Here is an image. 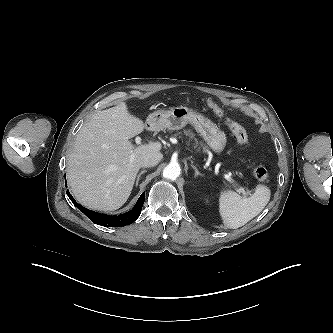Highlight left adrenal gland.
Listing matches in <instances>:
<instances>
[{
	"label": "left adrenal gland",
	"instance_id": "obj_1",
	"mask_svg": "<svg viewBox=\"0 0 333 333\" xmlns=\"http://www.w3.org/2000/svg\"><path fill=\"white\" fill-rule=\"evenodd\" d=\"M191 167L195 170V177H197L198 175H202L197 169V167L193 164V162H191Z\"/></svg>",
	"mask_w": 333,
	"mask_h": 333
}]
</instances>
